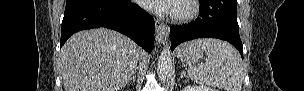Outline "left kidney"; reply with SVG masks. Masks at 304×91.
Returning <instances> with one entry per match:
<instances>
[{
  "instance_id": "obj_1",
  "label": "left kidney",
  "mask_w": 304,
  "mask_h": 91,
  "mask_svg": "<svg viewBox=\"0 0 304 91\" xmlns=\"http://www.w3.org/2000/svg\"><path fill=\"white\" fill-rule=\"evenodd\" d=\"M182 91H217L209 86L200 85V86H186Z\"/></svg>"
}]
</instances>
